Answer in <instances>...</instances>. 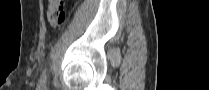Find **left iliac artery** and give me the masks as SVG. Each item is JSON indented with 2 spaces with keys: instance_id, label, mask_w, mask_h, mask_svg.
<instances>
[{
  "instance_id": "1",
  "label": "left iliac artery",
  "mask_w": 209,
  "mask_h": 90,
  "mask_svg": "<svg viewBox=\"0 0 209 90\" xmlns=\"http://www.w3.org/2000/svg\"><path fill=\"white\" fill-rule=\"evenodd\" d=\"M46 79H47L46 70H44L39 81V86H44L46 84Z\"/></svg>"
}]
</instances>
